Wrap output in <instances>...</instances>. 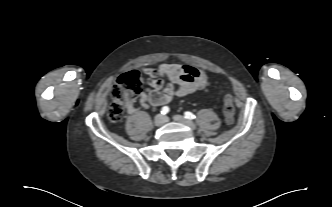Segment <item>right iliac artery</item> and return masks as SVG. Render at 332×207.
I'll return each mask as SVG.
<instances>
[{
  "mask_svg": "<svg viewBox=\"0 0 332 207\" xmlns=\"http://www.w3.org/2000/svg\"><path fill=\"white\" fill-rule=\"evenodd\" d=\"M169 112V107H167V106H164L162 109H161V113L162 114H167Z\"/></svg>",
  "mask_w": 332,
  "mask_h": 207,
  "instance_id": "right-iliac-artery-1",
  "label": "right iliac artery"
}]
</instances>
